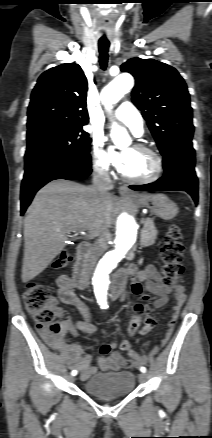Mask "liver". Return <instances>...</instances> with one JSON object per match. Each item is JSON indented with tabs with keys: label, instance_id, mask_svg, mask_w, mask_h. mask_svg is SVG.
Instances as JSON below:
<instances>
[{
	"label": "liver",
	"instance_id": "obj_1",
	"mask_svg": "<svg viewBox=\"0 0 212 438\" xmlns=\"http://www.w3.org/2000/svg\"><path fill=\"white\" fill-rule=\"evenodd\" d=\"M115 198H98L92 187L54 180L38 191L24 219L22 281L45 270L66 246L69 231L85 230L91 237L106 234L112 223Z\"/></svg>",
	"mask_w": 212,
	"mask_h": 438
}]
</instances>
